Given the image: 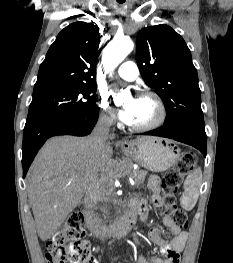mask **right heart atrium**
Masks as SVG:
<instances>
[{
    "label": "right heart atrium",
    "mask_w": 233,
    "mask_h": 263,
    "mask_svg": "<svg viewBox=\"0 0 233 263\" xmlns=\"http://www.w3.org/2000/svg\"><path fill=\"white\" fill-rule=\"evenodd\" d=\"M98 104L102 111L100 115V120L106 125H112L115 122V115L109 105L107 95L100 94Z\"/></svg>",
    "instance_id": "right-heart-atrium-1"
}]
</instances>
